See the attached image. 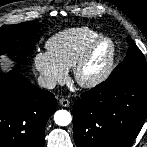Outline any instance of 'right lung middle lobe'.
Wrapping results in <instances>:
<instances>
[{"mask_svg": "<svg viewBox=\"0 0 147 147\" xmlns=\"http://www.w3.org/2000/svg\"><path fill=\"white\" fill-rule=\"evenodd\" d=\"M38 27L39 23L36 21L2 26L0 28V55L14 49L18 42L25 44L28 53L31 47V38Z\"/></svg>", "mask_w": 147, "mask_h": 147, "instance_id": "right-lung-middle-lobe-1", "label": "right lung middle lobe"}]
</instances>
